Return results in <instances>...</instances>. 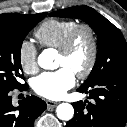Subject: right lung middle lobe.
Instances as JSON below:
<instances>
[{"mask_svg": "<svg viewBox=\"0 0 127 127\" xmlns=\"http://www.w3.org/2000/svg\"><path fill=\"white\" fill-rule=\"evenodd\" d=\"M46 15V12L30 15L17 21L0 19V91L24 85L18 82L19 78L24 79L20 60L22 42Z\"/></svg>", "mask_w": 127, "mask_h": 127, "instance_id": "right-lung-middle-lobe-1", "label": "right lung middle lobe"}]
</instances>
